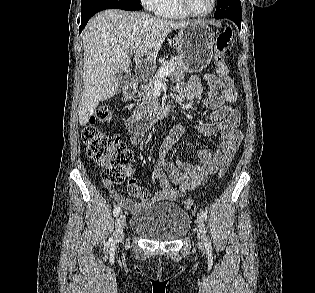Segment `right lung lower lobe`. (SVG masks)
<instances>
[{"mask_svg":"<svg viewBox=\"0 0 315 293\" xmlns=\"http://www.w3.org/2000/svg\"><path fill=\"white\" fill-rule=\"evenodd\" d=\"M118 8L127 11H135L142 9L139 0H81V26L79 32L83 30L88 20L97 12Z\"/></svg>","mask_w":315,"mask_h":293,"instance_id":"obj_1","label":"right lung lower lobe"}]
</instances>
